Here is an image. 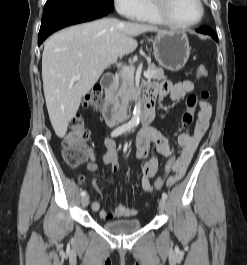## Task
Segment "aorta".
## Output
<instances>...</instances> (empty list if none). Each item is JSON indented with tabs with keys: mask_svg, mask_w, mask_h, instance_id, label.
<instances>
[{
	"mask_svg": "<svg viewBox=\"0 0 247 265\" xmlns=\"http://www.w3.org/2000/svg\"><path fill=\"white\" fill-rule=\"evenodd\" d=\"M140 116H141V104L136 103L135 107H134V111H133V117L131 119V123L133 125H138L139 121H140Z\"/></svg>",
	"mask_w": 247,
	"mask_h": 265,
	"instance_id": "aorta-1",
	"label": "aorta"
}]
</instances>
